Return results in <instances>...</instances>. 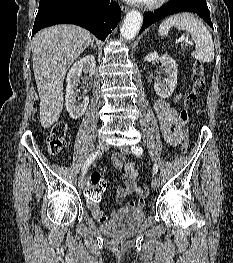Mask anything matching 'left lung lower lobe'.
<instances>
[{"label": "left lung lower lobe", "instance_id": "0a47b994", "mask_svg": "<svg viewBox=\"0 0 233 263\" xmlns=\"http://www.w3.org/2000/svg\"><path fill=\"white\" fill-rule=\"evenodd\" d=\"M186 11L198 14L208 23V25H210V27L213 28L210 19V12L205 0H170L165 6L156 10L154 13H145L140 32L165 16Z\"/></svg>", "mask_w": 233, "mask_h": 263}]
</instances>
